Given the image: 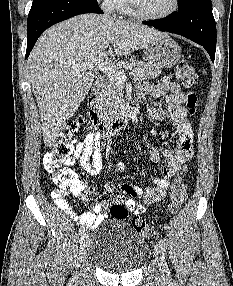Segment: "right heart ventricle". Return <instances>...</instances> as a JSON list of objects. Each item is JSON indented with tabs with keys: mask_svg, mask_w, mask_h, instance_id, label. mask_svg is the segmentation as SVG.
Listing matches in <instances>:
<instances>
[{
	"mask_svg": "<svg viewBox=\"0 0 233 286\" xmlns=\"http://www.w3.org/2000/svg\"><path fill=\"white\" fill-rule=\"evenodd\" d=\"M114 10H116L119 13L124 14V15H132L133 14V12L131 11V9L128 5L127 0H118Z\"/></svg>",
	"mask_w": 233,
	"mask_h": 286,
	"instance_id": "e07e8e85",
	"label": "right heart ventricle"
}]
</instances>
